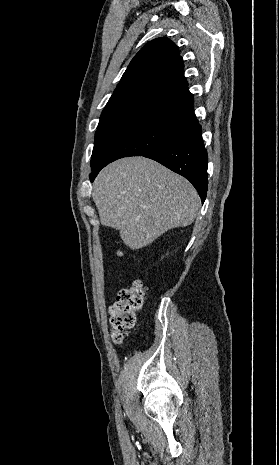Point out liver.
<instances>
[{"label":"liver","instance_id":"6515ba94","mask_svg":"<svg viewBox=\"0 0 279 465\" xmlns=\"http://www.w3.org/2000/svg\"><path fill=\"white\" fill-rule=\"evenodd\" d=\"M92 197L102 225L119 230L132 250L170 229L190 225L200 207L187 179L145 157L119 159L102 169Z\"/></svg>","mask_w":279,"mask_h":465}]
</instances>
